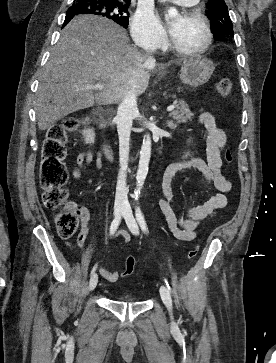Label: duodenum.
<instances>
[{"label":"duodenum","mask_w":276,"mask_h":363,"mask_svg":"<svg viewBox=\"0 0 276 363\" xmlns=\"http://www.w3.org/2000/svg\"><path fill=\"white\" fill-rule=\"evenodd\" d=\"M98 128L102 136L103 152L108 158H112L113 148L106 133L108 128V117L104 112L98 114Z\"/></svg>","instance_id":"obj_1"}]
</instances>
